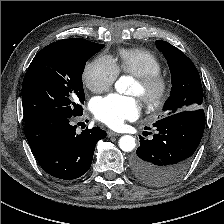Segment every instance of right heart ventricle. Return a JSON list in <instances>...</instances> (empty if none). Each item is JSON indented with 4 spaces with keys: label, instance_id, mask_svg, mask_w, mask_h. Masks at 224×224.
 Segmentation results:
<instances>
[{
    "label": "right heart ventricle",
    "instance_id": "obj_1",
    "mask_svg": "<svg viewBox=\"0 0 224 224\" xmlns=\"http://www.w3.org/2000/svg\"><path fill=\"white\" fill-rule=\"evenodd\" d=\"M114 63L118 72L136 78L158 73L163 68L156 55L141 48L120 49Z\"/></svg>",
    "mask_w": 224,
    "mask_h": 224
}]
</instances>
